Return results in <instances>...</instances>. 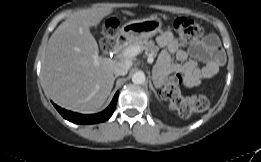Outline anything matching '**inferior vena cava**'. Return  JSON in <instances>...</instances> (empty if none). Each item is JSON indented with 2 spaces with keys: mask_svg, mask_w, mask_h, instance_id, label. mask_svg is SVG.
<instances>
[{
  "mask_svg": "<svg viewBox=\"0 0 261 162\" xmlns=\"http://www.w3.org/2000/svg\"><path fill=\"white\" fill-rule=\"evenodd\" d=\"M132 65V62L131 61H118L114 64V68H113V72L116 76H119V75H126L130 66Z\"/></svg>",
  "mask_w": 261,
  "mask_h": 162,
  "instance_id": "1",
  "label": "inferior vena cava"
}]
</instances>
